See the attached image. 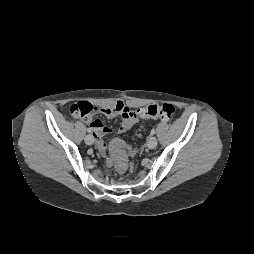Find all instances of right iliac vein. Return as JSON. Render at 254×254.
<instances>
[{
  "label": "right iliac vein",
  "mask_w": 254,
  "mask_h": 254,
  "mask_svg": "<svg viewBox=\"0 0 254 254\" xmlns=\"http://www.w3.org/2000/svg\"><path fill=\"white\" fill-rule=\"evenodd\" d=\"M85 143L87 144V145H92L93 143H94V138H93V136L92 135H86V137H85Z\"/></svg>",
  "instance_id": "right-iliac-vein-1"
}]
</instances>
